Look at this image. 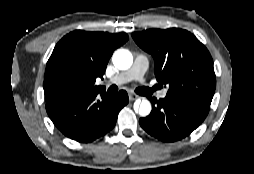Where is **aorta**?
<instances>
[{
  "mask_svg": "<svg viewBox=\"0 0 254 174\" xmlns=\"http://www.w3.org/2000/svg\"><path fill=\"white\" fill-rule=\"evenodd\" d=\"M112 61L116 68L120 70H127L133 63V56L128 50L119 49L113 54ZM151 109V103L146 99H143L137 107V111L142 117L148 116Z\"/></svg>",
  "mask_w": 254,
  "mask_h": 174,
  "instance_id": "aorta-1",
  "label": "aorta"
}]
</instances>
